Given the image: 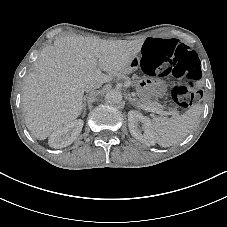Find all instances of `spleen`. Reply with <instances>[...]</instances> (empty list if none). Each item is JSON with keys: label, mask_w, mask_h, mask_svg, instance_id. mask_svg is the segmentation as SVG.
Instances as JSON below:
<instances>
[{"label": "spleen", "mask_w": 227, "mask_h": 227, "mask_svg": "<svg viewBox=\"0 0 227 227\" xmlns=\"http://www.w3.org/2000/svg\"><path fill=\"white\" fill-rule=\"evenodd\" d=\"M201 114L199 106H193L181 115L169 118L154 117L150 128L154 141L161 147H170L181 143L194 128Z\"/></svg>", "instance_id": "3e777b00"}]
</instances>
